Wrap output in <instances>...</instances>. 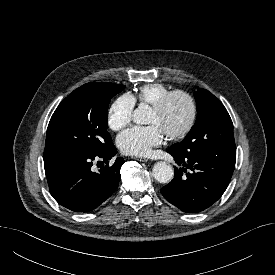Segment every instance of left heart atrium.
<instances>
[{
  "label": "left heart atrium",
  "mask_w": 275,
  "mask_h": 275,
  "mask_svg": "<svg viewBox=\"0 0 275 275\" xmlns=\"http://www.w3.org/2000/svg\"><path fill=\"white\" fill-rule=\"evenodd\" d=\"M164 133L156 124L135 126L122 132L117 139L120 150L128 155H146L162 142Z\"/></svg>",
  "instance_id": "left-heart-atrium-1"
}]
</instances>
